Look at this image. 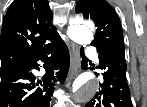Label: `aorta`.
I'll list each match as a JSON object with an SVG mask.
<instances>
[{
  "mask_svg": "<svg viewBox=\"0 0 147 107\" xmlns=\"http://www.w3.org/2000/svg\"><path fill=\"white\" fill-rule=\"evenodd\" d=\"M68 36L75 43L80 45L90 44L93 40V33L88 24H74L68 27ZM99 88L98 81L89 73L80 75L73 83L75 100L77 102L89 101Z\"/></svg>",
  "mask_w": 147,
  "mask_h": 107,
  "instance_id": "762f6f07",
  "label": "aorta"
}]
</instances>
